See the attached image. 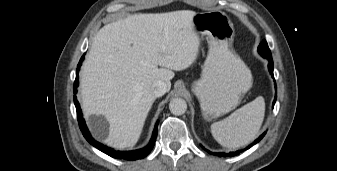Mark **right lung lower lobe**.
<instances>
[{
  "mask_svg": "<svg viewBox=\"0 0 337 171\" xmlns=\"http://www.w3.org/2000/svg\"><path fill=\"white\" fill-rule=\"evenodd\" d=\"M83 59H84V55L81 57L80 62L78 64V66H77L76 80L74 82V94H76V92H77L78 71H79V68L81 66V63H82ZM74 103H75V106H76L79 127H80V129H81V131L83 133V136L86 138V140L91 145H93L94 147H96L100 151H102L105 154H107V155H109V156H111L113 158H116V159H123V160L133 161V160L142 159V158L146 157L150 153V151L152 150V148H153V146L155 144V141H156L158 122L155 125L152 138H151L149 144L146 147H144L142 149H139V150H133V151H116V150H114L112 148H109V147H107V146H105V145H103V144L95 141L92 138V136L90 135V133H89L87 127H86L85 121H84L82 113H81V109L79 107V103L76 100V96L75 95H74Z\"/></svg>",
  "mask_w": 337,
  "mask_h": 171,
  "instance_id": "1",
  "label": "right lung lower lobe"
}]
</instances>
